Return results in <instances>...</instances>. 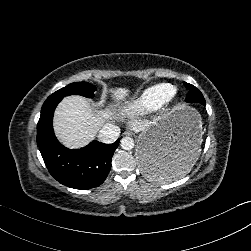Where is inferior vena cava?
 Returning <instances> with one entry per match:
<instances>
[{"mask_svg": "<svg viewBox=\"0 0 251 251\" xmlns=\"http://www.w3.org/2000/svg\"><path fill=\"white\" fill-rule=\"evenodd\" d=\"M120 134V127L115 124L105 125L98 133V140L105 144L113 143Z\"/></svg>", "mask_w": 251, "mask_h": 251, "instance_id": "1", "label": "inferior vena cava"}]
</instances>
